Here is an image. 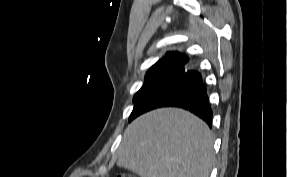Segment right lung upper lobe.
<instances>
[{
  "instance_id": "1",
  "label": "right lung upper lobe",
  "mask_w": 287,
  "mask_h": 177,
  "mask_svg": "<svg viewBox=\"0 0 287 177\" xmlns=\"http://www.w3.org/2000/svg\"><path fill=\"white\" fill-rule=\"evenodd\" d=\"M165 61H180L181 67L184 66L188 62V58L186 55L181 54L179 52H169L165 57L160 59L156 64L162 63Z\"/></svg>"
}]
</instances>
